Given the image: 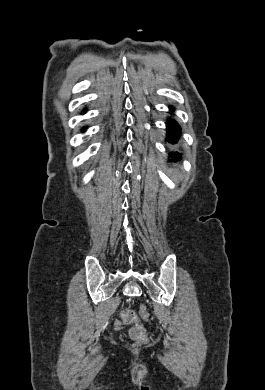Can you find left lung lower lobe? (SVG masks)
Here are the masks:
<instances>
[{"label":"left lung lower lobe","mask_w":265,"mask_h":390,"mask_svg":"<svg viewBox=\"0 0 265 390\" xmlns=\"http://www.w3.org/2000/svg\"><path fill=\"white\" fill-rule=\"evenodd\" d=\"M181 134V129L178 123L174 120H168L167 121V137L166 140L171 143L175 144L178 142ZM169 157L171 161H179L181 160L182 154L179 152H171L169 153Z\"/></svg>","instance_id":"left-lung-lower-lobe-1"}]
</instances>
